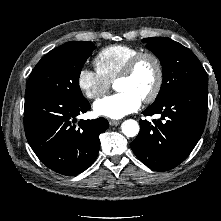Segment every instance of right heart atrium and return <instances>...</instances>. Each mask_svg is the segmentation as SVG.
<instances>
[{
  "label": "right heart atrium",
  "mask_w": 221,
  "mask_h": 221,
  "mask_svg": "<svg viewBox=\"0 0 221 221\" xmlns=\"http://www.w3.org/2000/svg\"><path fill=\"white\" fill-rule=\"evenodd\" d=\"M77 86L86 98L96 100L107 92L110 82L98 71L82 68L77 76Z\"/></svg>",
  "instance_id": "d8ad5b80"
}]
</instances>
